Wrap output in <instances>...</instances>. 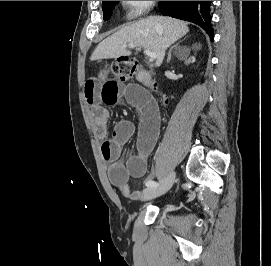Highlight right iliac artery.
Here are the masks:
<instances>
[{"instance_id":"82829eb1","label":"right iliac artery","mask_w":271,"mask_h":266,"mask_svg":"<svg viewBox=\"0 0 271 266\" xmlns=\"http://www.w3.org/2000/svg\"><path fill=\"white\" fill-rule=\"evenodd\" d=\"M146 186L148 188H150V187H156V186H158V183L155 182V181H153V180H149V181L146 182Z\"/></svg>"}]
</instances>
